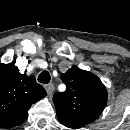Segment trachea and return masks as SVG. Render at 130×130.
<instances>
[{
  "label": "trachea",
  "mask_w": 130,
  "mask_h": 130,
  "mask_svg": "<svg viewBox=\"0 0 130 130\" xmlns=\"http://www.w3.org/2000/svg\"><path fill=\"white\" fill-rule=\"evenodd\" d=\"M51 80V76L48 71H43L38 76V82L48 84Z\"/></svg>",
  "instance_id": "1"
}]
</instances>
